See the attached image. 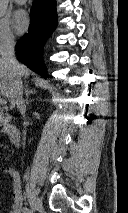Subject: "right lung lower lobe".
<instances>
[{"label": "right lung lower lobe", "mask_w": 128, "mask_h": 213, "mask_svg": "<svg viewBox=\"0 0 128 213\" xmlns=\"http://www.w3.org/2000/svg\"><path fill=\"white\" fill-rule=\"evenodd\" d=\"M30 18L28 33L16 44V55L31 70L46 77L41 53L46 39L57 24L56 0H34Z\"/></svg>", "instance_id": "1"}]
</instances>
